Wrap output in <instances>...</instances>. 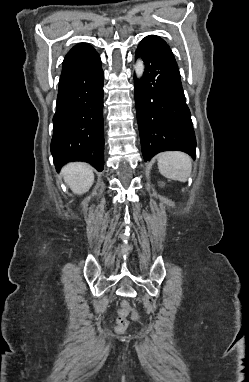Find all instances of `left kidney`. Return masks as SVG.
Returning <instances> with one entry per match:
<instances>
[{
	"mask_svg": "<svg viewBox=\"0 0 249 382\" xmlns=\"http://www.w3.org/2000/svg\"><path fill=\"white\" fill-rule=\"evenodd\" d=\"M161 186H163L164 184L163 183H160Z\"/></svg>",
	"mask_w": 249,
	"mask_h": 382,
	"instance_id": "5707ae66",
	"label": "left kidney"
}]
</instances>
